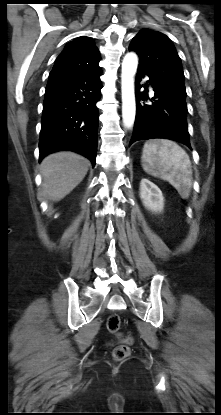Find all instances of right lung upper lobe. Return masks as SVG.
Instances as JSON below:
<instances>
[{"label":"right lung upper lobe","mask_w":221,"mask_h":415,"mask_svg":"<svg viewBox=\"0 0 221 415\" xmlns=\"http://www.w3.org/2000/svg\"><path fill=\"white\" fill-rule=\"evenodd\" d=\"M99 61L100 53L91 39L78 37L68 43L57 57L49 80L99 71Z\"/></svg>","instance_id":"1"}]
</instances>
